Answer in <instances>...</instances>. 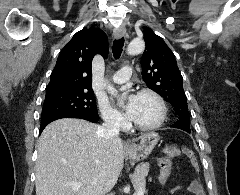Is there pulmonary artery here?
Instances as JSON below:
<instances>
[{
  "mask_svg": "<svg viewBox=\"0 0 240 195\" xmlns=\"http://www.w3.org/2000/svg\"><path fill=\"white\" fill-rule=\"evenodd\" d=\"M121 71H116L114 74L113 81L116 83H124L127 80H130L132 76V71H128V66H121Z\"/></svg>",
  "mask_w": 240,
  "mask_h": 195,
  "instance_id": "obj_1",
  "label": "pulmonary artery"
}]
</instances>
